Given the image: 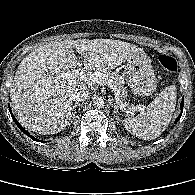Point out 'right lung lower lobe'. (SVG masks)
I'll return each mask as SVG.
<instances>
[{
  "mask_svg": "<svg viewBox=\"0 0 195 195\" xmlns=\"http://www.w3.org/2000/svg\"><path fill=\"white\" fill-rule=\"evenodd\" d=\"M9 111H10V113H11V116H12V118H13V120H14V122H15V124L20 128V130H22L27 136H29L32 140H35V141H39L40 142V140H38V139H36V138H34L33 136H31L18 122H17V120L15 119V117H14V115L12 114V112H11V109H10V106H9Z\"/></svg>",
  "mask_w": 195,
  "mask_h": 195,
  "instance_id": "right-lung-lower-lobe-1",
  "label": "right lung lower lobe"
}]
</instances>
